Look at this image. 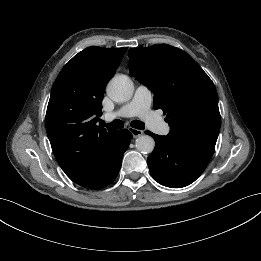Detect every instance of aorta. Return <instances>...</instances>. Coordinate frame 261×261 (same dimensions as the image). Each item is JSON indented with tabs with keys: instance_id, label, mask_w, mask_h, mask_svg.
<instances>
[{
	"instance_id": "aorta-1",
	"label": "aorta",
	"mask_w": 261,
	"mask_h": 261,
	"mask_svg": "<svg viewBox=\"0 0 261 261\" xmlns=\"http://www.w3.org/2000/svg\"><path fill=\"white\" fill-rule=\"evenodd\" d=\"M134 93L132 80L126 75L114 76L107 85V94L115 102L129 101ZM135 146L144 154L151 153L155 147L154 139L149 135H141L136 139Z\"/></svg>"
}]
</instances>
